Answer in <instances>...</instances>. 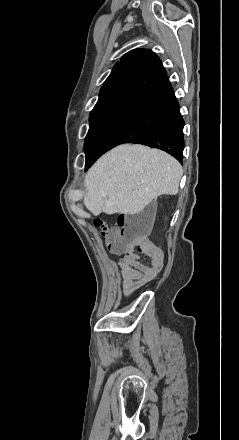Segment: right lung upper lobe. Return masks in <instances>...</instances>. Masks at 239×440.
<instances>
[{
	"mask_svg": "<svg viewBox=\"0 0 239 440\" xmlns=\"http://www.w3.org/2000/svg\"><path fill=\"white\" fill-rule=\"evenodd\" d=\"M166 76L161 60L154 52L132 50L115 64L100 90L96 105L118 98H136L151 90Z\"/></svg>",
	"mask_w": 239,
	"mask_h": 440,
	"instance_id": "obj_1",
	"label": "right lung upper lobe"
}]
</instances>
